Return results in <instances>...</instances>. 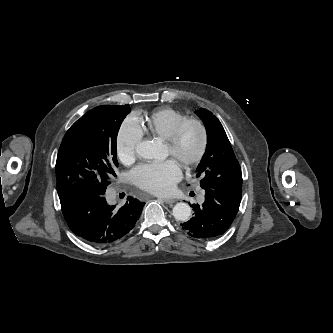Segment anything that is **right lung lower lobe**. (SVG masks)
<instances>
[{
	"label": "right lung lower lobe",
	"mask_w": 333,
	"mask_h": 333,
	"mask_svg": "<svg viewBox=\"0 0 333 333\" xmlns=\"http://www.w3.org/2000/svg\"><path fill=\"white\" fill-rule=\"evenodd\" d=\"M71 231L93 245H109L124 238L135 226L144 202L128 197L120 208L103 195L84 194L60 200Z\"/></svg>",
	"instance_id": "1"
}]
</instances>
